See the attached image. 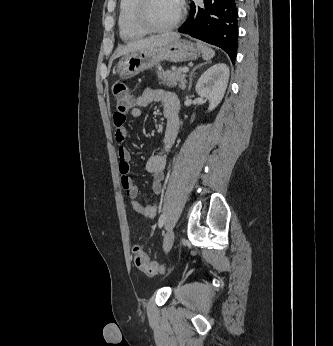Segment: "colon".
<instances>
[{"label": "colon", "mask_w": 333, "mask_h": 346, "mask_svg": "<svg viewBox=\"0 0 333 346\" xmlns=\"http://www.w3.org/2000/svg\"><path fill=\"white\" fill-rule=\"evenodd\" d=\"M113 95L116 103V112L114 117L121 116L126 120V113L133 106V97L131 92L125 84L116 82L113 85ZM133 261L136 268L147 275H156L164 271V267L151 261L139 245L133 247Z\"/></svg>", "instance_id": "obj_1"}]
</instances>
